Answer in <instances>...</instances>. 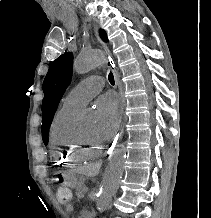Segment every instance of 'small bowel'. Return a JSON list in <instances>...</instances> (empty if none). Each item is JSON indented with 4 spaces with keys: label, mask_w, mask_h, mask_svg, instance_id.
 <instances>
[{
    "label": "small bowel",
    "mask_w": 211,
    "mask_h": 218,
    "mask_svg": "<svg viewBox=\"0 0 211 218\" xmlns=\"http://www.w3.org/2000/svg\"><path fill=\"white\" fill-rule=\"evenodd\" d=\"M66 209L68 211H71L73 209V206L71 204H67Z\"/></svg>",
    "instance_id": "1"
}]
</instances>
